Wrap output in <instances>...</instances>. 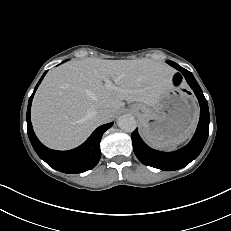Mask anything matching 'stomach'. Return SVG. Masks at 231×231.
I'll return each instance as SVG.
<instances>
[{
	"label": "stomach",
	"instance_id": "0dacf381",
	"mask_svg": "<svg viewBox=\"0 0 231 231\" xmlns=\"http://www.w3.org/2000/svg\"><path fill=\"white\" fill-rule=\"evenodd\" d=\"M145 139L154 147H173L184 142L198 121L194 97L172 80L153 106L136 103L132 106Z\"/></svg>",
	"mask_w": 231,
	"mask_h": 231
}]
</instances>
